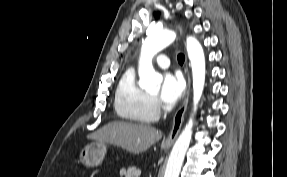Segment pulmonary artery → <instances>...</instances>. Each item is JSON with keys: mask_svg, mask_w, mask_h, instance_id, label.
<instances>
[{"mask_svg": "<svg viewBox=\"0 0 287 177\" xmlns=\"http://www.w3.org/2000/svg\"><path fill=\"white\" fill-rule=\"evenodd\" d=\"M156 64L161 68H167L169 66V59L166 55L160 54L156 58Z\"/></svg>", "mask_w": 287, "mask_h": 177, "instance_id": "e3ab8cb5", "label": "pulmonary artery"}]
</instances>
